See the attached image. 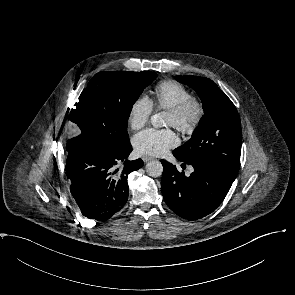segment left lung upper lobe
I'll return each instance as SVG.
<instances>
[{
	"label": "left lung upper lobe",
	"mask_w": 295,
	"mask_h": 295,
	"mask_svg": "<svg viewBox=\"0 0 295 295\" xmlns=\"http://www.w3.org/2000/svg\"><path fill=\"white\" fill-rule=\"evenodd\" d=\"M199 94L204 115L192 138L174 152L185 162H204L235 179L240 167L241 122L236 107L210 79L176 76Z\"/></svg>",
	"instance_id": "1"
}]
</instances>
